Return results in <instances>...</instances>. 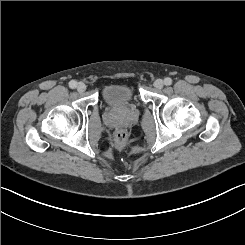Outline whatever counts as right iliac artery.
Here are the masks:
<instances>
[{
    "instance_id": "obj_1",
    "label": "right iliac artery",
    "mask_w": 245,
    "mask_h": 245,
    "mask_svg": "<svg viewBox=\"0 0 245 245\" xmlns=\"http://www.w3.org/2000/svg\"><path fill=\"white\" fill-rule=\"evenodd\" d=\"M76 86H77V82L76 81L72 80V81L69 82V87L70 88L74 89V88H76Z\"/></svg>"
}]
</instances>
